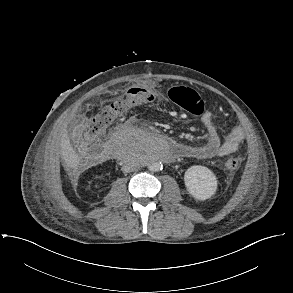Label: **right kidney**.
Returning <instances> with one entry per match:
<instances>
[{
  "mask_svg": "<svg viewBox=\"0 0 293 293\" xmlns=\"http://www.w3.org/2000/svg\"><path fill=\"white\" fill-rule=\"evenodd\" d=\"M95 187H96V188H98V187H99V185H98V184H96V185H95Z\"/></svg>",
  "mask_w": 293,
  "mask_h": 293,
  "instance_id": "1",
  "label": "right kidney"
}]
</instances>
